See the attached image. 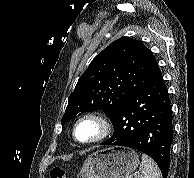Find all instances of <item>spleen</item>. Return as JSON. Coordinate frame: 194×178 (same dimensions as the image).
<instances>
[{"instance_id": "spleen-1", "label": "spleen", "mask_w": 194, "mask_h": 178, "mask_svg": "<svg viewBox=\"0 0 194 178\" xmlns=\"http://www.w3.org/2000/svg\"><path fill=\"white\" fill-rule=\"evenodd\" d=\"M139 173L135 178H162L156 163L147 155L142 154Z\"/></svg>"}]
</instances>
